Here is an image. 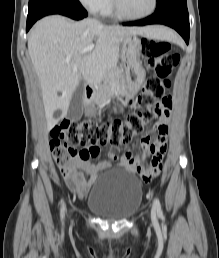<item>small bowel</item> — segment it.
<instances>
[{"mask_svg": "<svg viewBox=\"0 0 219 258\" xmlns=\"http://www.w3.org/2000/svg\"><path fill=\"white\" fill-rule=\"evenodd\" d=\"M128 101L129 103H132L133 99L130 97L128 98ZM172 106L173 101L170 96L157 102L155 106L157 121L154 127L157 135L154 139H151L149 136H144L142 138V155L135 154L130 147L124 146L121 155L114 152L108 153L110 160L91 164L87 162V159L91 156L79 158L71 176L66 179V184L69 189L78 197H84L94 182L105 171L113 167L112 162H116V166L123 170L131 173H139L143 178V183H156V178H159L160 175H162L161 169L165 162L164 152L166 150ZM83 150L90 152L91 148H85ZM99 153L100 148H98V154ZM146 157H149V162H147V166H144Z\"/></svg>", "mask_w": 219, "mask_h": 258, "instance_id": "small-bowel-1", "label": "small bowel"}]
</instances>
